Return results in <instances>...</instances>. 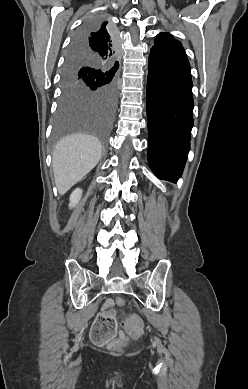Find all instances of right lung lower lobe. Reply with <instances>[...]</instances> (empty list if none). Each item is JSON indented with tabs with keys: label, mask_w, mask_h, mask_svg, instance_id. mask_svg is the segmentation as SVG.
<instances>
[{
	"label": "right lung lower lobe",
	"mask_w": 248,
	"mask_h": 389,
	"mask_svg": "<svg viewBox=\"0 0 248 389\" xmlns=\"http://www.w3.org/2000/svg\"><path fill=\"white\" fill-rule=\"evenodd\" d=\"M108 30H109V32H110L112 41H113L114 44L116 45V44L118 43V39H117L116 33L112 30V28H111L110 25H108ZM81 39H82V38L78 39L77 41H80ZM78 46H80L79 43H73V44L71 45V48H72L73 50H75V49L79 50V49L77 48Z\"/></svg>",
	"instance_id": "1"
}]
</instances>
